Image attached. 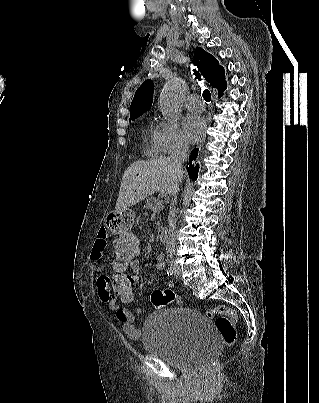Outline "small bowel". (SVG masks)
Here are the masks:
<instances>
[{
  "instance_id": "obj_1",
  "label": "small bowel",
  "mask_w": 319,
  "mask_h": 403,
  "mask_svg": "<svg viewBox=\"0 0 319 403\" xmlns=\"http://www.w3.org/2000/svg\"><path fill=\"white\" fill-rule=\"evenodd\" d=\"M108 247V232L106 229L101 228L98 231L97 239L92 247L90 258L93 261H101L106 253ZM139 254H137L138 256ZM113 263V262H112ZM113 266V264H112ZM164 267L163 255L159 256L156 263V268L162 270ZM114 269V268H113ZM133 271V281L137 282V274L139 268H130ZM113 276L111 274L102 275L97 280V289L101 300L115 312L116 320L121 323L124 333L133 341H139L142 338V332L135 326V314L141 312L140 308L129 310L124 305L119 304L116 300L113 291ZM174 283L172 281L167 282V286L172 287Z\"/></svg>"
}]
</instances>
